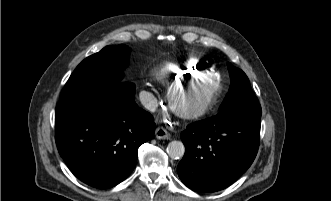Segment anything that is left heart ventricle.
<instances>
[{"label": "left heart ventricle", "mask_w": 331, "mask_h": 201, "mask_svg": "<svg viewBox=\"0 0 331 201\" xmlns=\"http://www.w3.org/2000/svg\"><path fill=\"white\" fill-rule=\"evenodd\" d=\"M210 85L192 83L178 89L174 94L175 102L184 108L197 105L209 92Z\"/></svg>", "instance_id": "1"}]
</instances>
